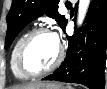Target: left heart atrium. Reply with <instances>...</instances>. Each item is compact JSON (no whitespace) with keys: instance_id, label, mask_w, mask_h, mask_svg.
Segmentation results:
<instances>
[{"instance_id":"left-heart-atrium-1","label":"left heart atrium","mask_w":107,"mask_h":89,"mask_svg":"<svg viewBox=\"0 0 107 89\" xmlns=\"http://www.w3.org/2000/svg\"><path fill=\"white\" fill-rule=\"evenodd\" d=\"M53 36H54L56 42L59 44V36H58V34L54 33Z\"/></svg>"}]
</instances>
